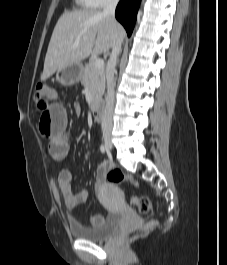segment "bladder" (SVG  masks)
<instances>
[{"label":"bladder","mask_w":227,"mask_h":265,"mask_svg":"<svg viewBox=\"0 0 227 265\" xmlns=\"http://www.w3.org/2000/svg\"><path fill=\"white\" fill-rule=\"evenodd\" d=\"M113 188L116 192L118 191L116 187ZM120 224V215L111 213L103 219V222L98 226L87 227L77 222H70L69 231L76 239L90 242H100L114 234L118 230Z\"/></svg>","instance_id":"1"}]
</instances>
